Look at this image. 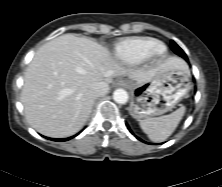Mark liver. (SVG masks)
<instances>
[{"instance_id": "6515ba94", "label": "liver", "mask_w": 222, "mask_h": 187, "mask_svg": "<svg viewBox=\"0 0 222 187\" xmlns=\"http://www.w3.org/2000/svg\"><path fill=\"white\" fill-rule=\"evenodd\" d=\"M168 68L186 69V65L170 57L148 70L126 69L94 40L61 35L42 45L26 69L21 93L25 117L45 136H71L89 118L97 98L90 91L94 83L110 84L127 75L142 84Z\"/></svg>"}]
</instances>
